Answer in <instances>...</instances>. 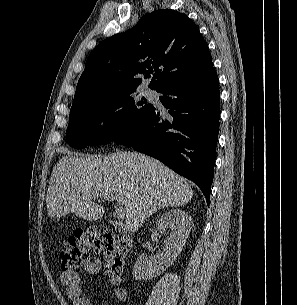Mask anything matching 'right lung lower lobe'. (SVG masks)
I'll list each match as a JSON object with an SVG mask.
<instances>
[{"instance_id": "98d812e1", "label": "right lung lower lobe", "mask_w": 297, "mask_h": 305, "mask_svg": "<svg viewBox=\"0 0 297 305\" xmlns=\"http://www.w3.org/2000/svg\"><path fill=\"white\" fill-rule=\"evenodd\" d=\"M148 115L113 141L150 155L195 182L209 204L219 133L220 91L212 68L203 76L160 88Z\"/></svg>"}]
</instances>
